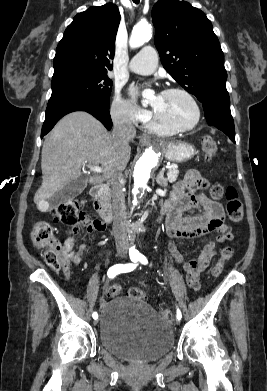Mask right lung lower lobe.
I'll return each mask as SVG.
<instances>
[{
  "instance_id": "right-lung-lower-lobe-1",
  "label": "right lung lower lobe",
  "mask_w": 267,
  "mask_h": 391,
  "mask_svg": "<svg viewBox=\"0 0 267 391\" xmlns=\"http://www.w3.org/2000/svg\"><path fill=\"white\" fill-rule=\"evenodd\" d=\"M74 111H86L101 121L108 130L112 127L108 106L83 99H66L47 106L41 138L53 128L59 119Z\"/></svg>"
}]
</instances>
